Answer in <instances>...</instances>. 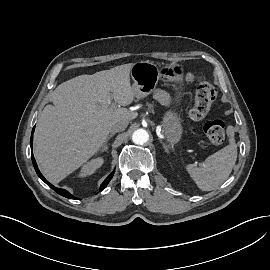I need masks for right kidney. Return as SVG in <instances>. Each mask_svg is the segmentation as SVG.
Returning a JSON list of instances; mask_svg holds the SVG:
<instances>
[{
  "label": "right kidney",
  "instance_id": "ca27d5eb",
  "mask_svg": "<svg viewBox=\"0 0 270 270\" xmlns=\"http://www.w3.org/2000/svg\"><path fill=\"white\" fill-rule=\"evenodd\" d=\"M103 162L104 161L101 157L92 159L82 167L79 176L85 177L87 175L93 174L98 168L102 166Z\"/></svg>",
  "mask_w": 270,
  "mask_h": 270
}]
</instances>
